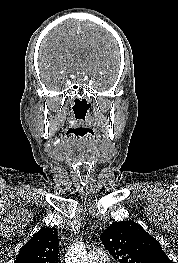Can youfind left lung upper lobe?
Wrapping results in <instances>:
<instances>
[{"instance_id": "5c2ea615", "label": "left lung upper lobe", "mask_w": 178, "mask_h": 263, "mask_svg": "<svg viewBox=\"0 0 178 263\" xmlns=\"http://www.w3.org/2000/svg\"><path fill=\"white\" fill-rule=\"evenodd\" d=\"M100 239L119 263H172L160 243L131 220L112 223Z\"/></svg>"}]
</instances>
